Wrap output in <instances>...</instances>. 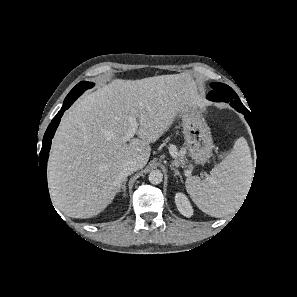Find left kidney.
Masks as SVG:
<instances>
[{
    "instance_id": "1",
    "label": "left kidney",
    "mask_w": 297,
    "mask_h": 297,
    "mask_svg": "<svg viewBox=\"0 0 297 297\" xmlns=\"http://www.w3.org/2000/svg\"><path fill=\"white\" fill-rule=\"evenodd\" d=\"M175 203L178 211L185 217L193 215V208L185 194L178 192L175 195Z\"/></svg>"
}]
</instances>
